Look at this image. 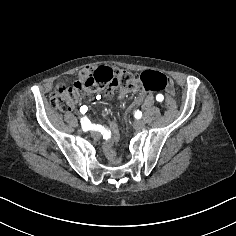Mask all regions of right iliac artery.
<instances>
[{
    "label": "right iliac artery",
    "instance_id": "right-iliac-artery-1",
    "mask_svg": "<svg viewBox=\"0 0 236 236\" xmlns=\"http://www.w3.org/2000/svg\"><path fill=\"white\" fill-rule=\"evenodd\" d=\"M81 126L84 132H87L91 128V122L87 117L81 118Z\"/></svg>",
    "mask_w": 236,
    "mask_h": 236
}]
</instances>
